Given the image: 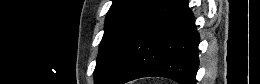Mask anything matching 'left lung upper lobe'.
Returning a JSON list of instances; mask_svg holds the SVG:
<instances>
[{"instance_id": "5c2ea615", "label": "left lung upper lobe", "mask_w": 260, "mask_h": 84, "mask_svg": "<svg viewBox=\"0 0 260 84\" xmlns=\"http://www.w3.org/2000/svg\"><path fill=\"white\" fill-rule=\"evenodd\" d=\"M159 1L113 0L94 70L95 84L104 83L125 45Z\"/></svg>"}]
</instances>
